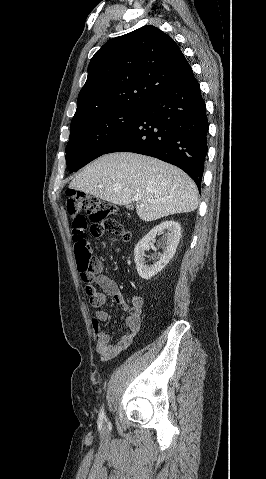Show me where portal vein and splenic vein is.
I'll return each instance as SVG.
<instances>
[{"instance_id":"portal-vein-and-splenic-vein-1","label":"portal vein and splenic vein","mask_w":266,"mask_h":479,"mask_svg":"<svg viewBox=\"0 0 266 479\" xmlns=\"http://www.w3.org/2000/svg\"><path fill=\"white\" fill-rule=\"evenodd\" d=\"M140 199H141V195H135V196H134V200H135V201H139Z\"/></svg>"}]
</instances>
